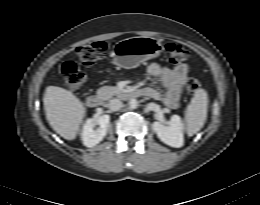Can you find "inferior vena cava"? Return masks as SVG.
Instances as JSON below:
<instances>
[{
  "mask_svg": "<svg viewBox=\"0 0 260 205\" xmlns=\"http://www.w3.org/2000/svg\"><path fill=\"white\" fill-rule=\"evenodd\" d=\"M110 110L118 111L123 107V103L119 99H112L108 104Z\"/></svg>",
  "mask_w": 260,
  "mask_h": 205,
  "instance_id": "602c4592",
  "label": "inferior vena cava"
}]
</instances>
